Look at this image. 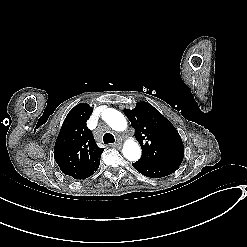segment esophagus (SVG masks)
Segmentation results:
<instances>
[{
	"instance_id": "esophagus-1",
	"label": "esophagus",
	"mask_w": 247,
	"mask_h": 247,
	"mask_svg": "<svg viewBox=\"0 0 247 247\" xmlns=\"http://www.w3.org/2000/svg\"><path fill=\"white\" fill-rule=\"evenodd\" d=\"M112 147H120L121 143H116L115 145H111Z\"/></svg>"
}]
</instances>
